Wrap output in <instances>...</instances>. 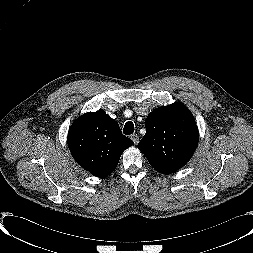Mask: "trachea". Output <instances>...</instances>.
<instances>
[{
    "label": "trachea",
    "mask_w": 253,
    "mask_h": 253,
    "mask_svg": "<svg viewBox=\"0 0 253 253\" xmlns=\"http://www.w3.org/2000/svg\"><path fill=\"white\" fill-rule=\"evenodd\" d=\"M123 132L126 135L133 134L134 133V124H133V122H131V121L126 122L125 125H124Z\"/></svg>",
    "instance_id": "1"
}]
</instances>
